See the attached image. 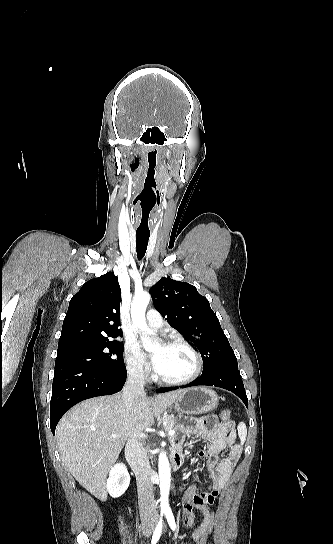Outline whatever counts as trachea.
Here are the masks:
<instances>
[{
  "instance_id": "obj_1",
  "label": "trachea",
  "mask_w": 333,
  "mask_h": 544,
  "mask_svg": "<svg viewBox=\"0 0 333 544\" xmlns=\"http://www.w3.org/2000/svg\"><path fill=\"white\" fill-rule=\"evenodd\" d=\"M136 235L137 258L138 260H141L146 253L150 234L137 233Z\"/></svg>"
}]
</instances>
